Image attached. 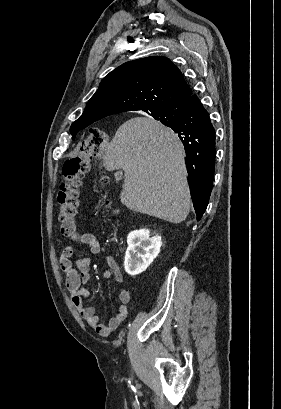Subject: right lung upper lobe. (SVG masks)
Here are the masks:
<instances>
[{"instance_id": "1", "label": "right lung upper lobe", "mask_w": 281, "mask_h": 409, "mask_svg": "<svg viewBox=\"0 0 281 409\" xmlns=\"http://www.w3.org/2000/svg\"><path fill=\"white\" fill-rule=\"evenodd\" d=\"M192 92L180 70L165 57H147L124 63L110 72L88 101L72 128L84 129L116 113L151 112L187 99Z\"/></svg>"}]
</instances>
